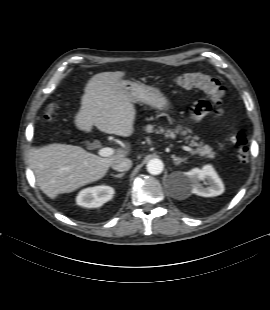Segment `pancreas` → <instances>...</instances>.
Returning <instances> with one entry per match:
<instances>
[{
  "mask_svg": "<svg viewBox=\"0 0 270 310\" xmlns=\"http://www.w3.org/2000/svg\"><path fill=\"white\" fill-rule=\"evenodd\" d=\"M146 132L151 133L154 131V127L152 125H147L145 128ZM156 132H164V129L156 130ZM190 132L189 129H183L181 126H178L174 131L172 130H167L165 133L166 137H171L175 138L176 134H181L183 136L187 135ZM198 138L197 137H192V136H186L184 137V140L186 142H189L190 146H196L197 149L195 153H198L200 156L205 157V158H210L213 159L215 158V152H213V149L209 145H204L202 142L198 143L196 142ZM190 140V141H188Z\"/></svg>",
  "mask_w": 270,
  "mask_h": 310,
  "instance_id": "obj_1",
  "label": "pancreas"
}]
</instances>
